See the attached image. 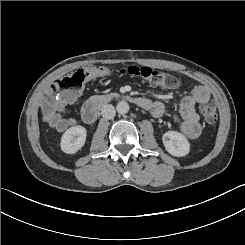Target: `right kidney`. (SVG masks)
Instances as JSON below:
<instances>
[{
    "label": "right kidney",
    "instance_id": "1",
    "mask_svg": "<svg viewBox=\"0 0 245 245\" xmlns=\"http://www.w3.org/2000/svg\"><path fill=\"white\" fill-rule=\"evenodd\" d=\"M68 136V154L76 153L85 144L87 131L83 126L77 125L66 130Z\"/></svg>",
    "mask_w": 245,
    "mask_h": 245
}]
</instances>
